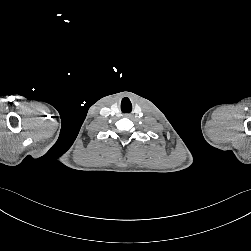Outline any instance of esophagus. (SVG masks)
<instances>
[{"label": "esophagus", "instance_id": "1", "mask_svg": "<svg viewBox=\"0 0 251 251\" xmlns=\"http://www.w3.org/2000/svg\"><path fill=\"white\" fill-rule=\"evenodd\" d=\"M125 117H130V115H129V114H126Z\"/></svg>", "mask_w": 251, "mask_h": 251}]
</instances>
